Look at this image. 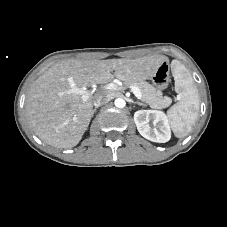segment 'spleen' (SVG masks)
<instances>
[{"label": "spleen", "instance_id": "3e777b00", "mask_svg": "<svg viewBox=\"0 0 227 227\" xmlns=\"http://www.w3.org/2000/svg\"><path fill=\"white\" fill-rule=\"evenodd\" d=\"M173 76L177 89H181L179 94L181 100L167 111L166 117L174 135L177 138H183L189 134L192 125L198 118L199 95L193 79L184 65L175 63Z\"/></svg>", "mask_w": 227, "mask_h": 227}]
</instances>
